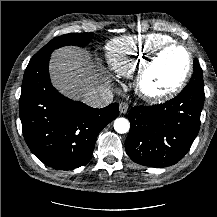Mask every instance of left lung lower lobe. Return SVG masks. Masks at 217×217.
I'll return each instance as SVG.
<instances>
[{"mask_svg": "<svg viewBox=\"0 0 217 217\" xmlns=\"http://www.w3.org/2000/svg\"><path fill=\"white\" fill-rule=\"evenodd\" d=\"M204 90L188 84L175 98L159 105L135 106L128 114L125 141L129 157L144 166L177 163L190 149L200 128Z\"/></svg>", "mask_w": 217, "mask_h": 217, "instance_id": "left-lung-lower-lobe-1", "label": "left lung lower lobe"}]
</instances>
